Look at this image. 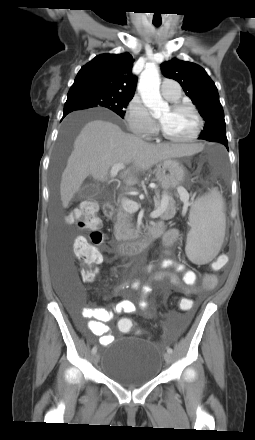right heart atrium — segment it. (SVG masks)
<instances>
[{
    "mask_svg": "<svg viewBox=\"0 0 255 440\" xmlns=\"http://www.w3.org/2000/svg\"><path fill=\"white\" fill-rule=\"evenodd\" d=\"M129 130L140 136H150L155 133L156 126L142 101L134 97L125 115Z\"/></svg>",
    "mask_w": 255,
    "mask_h": 440,
    "instance_id": "right-heart-atrium-1",
    "label": "right heart atrium"
}]
</instances>
